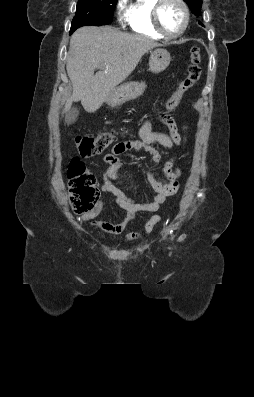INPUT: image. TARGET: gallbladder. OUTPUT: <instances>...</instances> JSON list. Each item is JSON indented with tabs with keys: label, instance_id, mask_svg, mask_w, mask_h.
<instances>
[{
	"label": "gallbladder",
	"instance_id": "1",
	"mask_svg": "<svg viewBox=\"0 0 254 397\" xmlns=\"http://www.w3.org/2000/svg\"><path fill=\"white\" fill-rule=\"evenodd\" d=\"M79 111L76 107H71L65 115V122L69 125L74 123L78 118Z\"/></svg>",
	"mask_w": 254,
	"mask_h": 397
}]
</instances>
